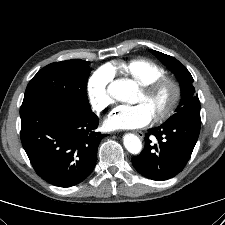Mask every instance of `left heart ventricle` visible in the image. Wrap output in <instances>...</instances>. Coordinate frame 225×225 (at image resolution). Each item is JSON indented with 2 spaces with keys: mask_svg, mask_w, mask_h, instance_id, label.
<instances>
[{
  "mask_svg": "<svg viewBox=\"0 0 225 225\" xmlns=\"http://www.w3.org/2000/svg\"><path fill=\"white\" fill-rule=\"evenodd\" d=\"M168 98L169 92L167 90L161 91L152 98L146 97L143 91L141 90L137 102L138 103L143 102L148 104L152 109L153 113L155 114V112L167 102Z\"/></svg>",
  "mask_w": 225,
  "mask_h": 225,
  "instance_id": "1",
  "label": "left heart ventricle"
}]
</instances>
